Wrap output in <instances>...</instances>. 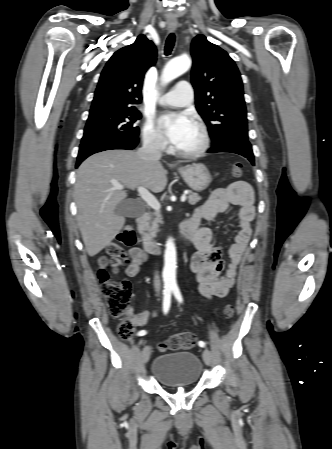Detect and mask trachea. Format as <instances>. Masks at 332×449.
Segmentation results:
<instances>
[{
  "mask_svg": "<svg viewBox=\"0 0 332 449\" xmlns=\"http://www.w3.org/2000/svg\"><path fill=\"white\" fill-rule=\"evenodd\" d=\"M175 44V35L171 33L165 43V55L168 56L172 52V49Z\"/></svg>",
  "mask_w": 332,
  "mask_h": 449,
  "instance_id": "obj_1",
  "label": "trachea"
}]
</instances>
